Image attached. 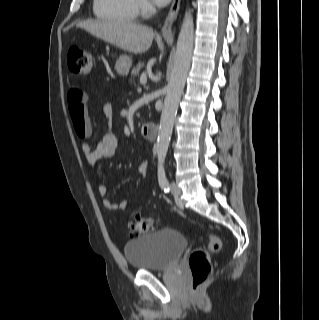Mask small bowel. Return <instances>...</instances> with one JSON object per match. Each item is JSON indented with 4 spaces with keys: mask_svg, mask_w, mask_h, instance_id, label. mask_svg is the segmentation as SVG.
<instances>
[{
    "mask_svg": "<svg viewBox=\"0 0 319 320\" xmlns=\"http://www.w3.org/2000/svg\"><path fill=\"white\" fill-rule=\"evenodd\" d=\"M87 94L79 89L73 88L68 94L69 113L74 125H83L91 133L92 127L87 111ZM103 113L106 117L110 118L113 115V106L110 102L103 105ZM119 140L116 134L109 132L103 135L99 143L92 146L89 142H83L81 145L82 153L91 165L96 164L101 159L112 158L118 153ZM148 163L143 162L139 171L142 175L148 172ZM98 195L102 198V203L105 209L109 211H123L128 206L127 200L114 202L107 198V188L105 185L97 187Z\"/></svg>",
    "mask_w": 319,
    "mask_h": 320,
    "instance_id": "obj_1",
    "label": "small bowel"
}]
</instances>
